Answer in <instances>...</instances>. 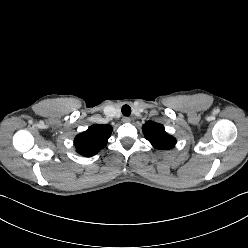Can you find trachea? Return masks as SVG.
Returning <instances> with one entry per match:
<instances>
[{
	"mask_svg": "<svg viewBox=\"0 0 248 248\" xmlns=\"http://www.w3.org/2000/svg\"><path fill=\"white\" fill-rule=\"evenodd\" d=\"M122 114H123L124 116H129V115L131 114V108H130L129 105H124V106L122 107Z\"/></svg>",
	"mask_w": 248,
	"mask_h": 248,
	"instance_id": "obj_1",
	"label": "trachea"
}]
</instances>
